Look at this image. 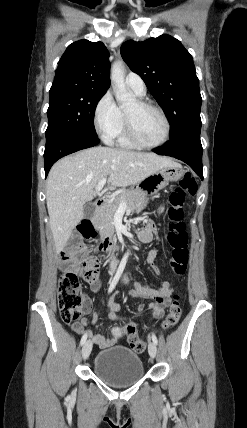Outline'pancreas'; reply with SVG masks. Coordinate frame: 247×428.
Wrapping results in <instances>:
<instances>
[{"mask_svg":"<svg viewBox=\"0 0 247 428\" xmlns=\"http://www.w3.org/2000/svg\"><path fill=\"white\" fill-rule=\"evenodd\" d=\"M124 202L130 212H140L146 205V195L139 189H125L111 197L97 214L95 224L102 233L114 229L113 219L119 205Z\"/></svg>","mask_w":247,"mask_h":428,"instance_id":"obj_1","label":"pancreas"}]
</instances>
